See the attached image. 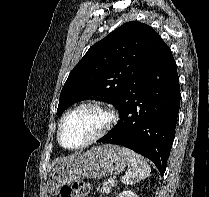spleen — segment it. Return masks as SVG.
Returning a JSON list of instances; mask_svg holds the SVG:
<instances>
[{
    "mask_svg": "<svg viewBox=\"0 0 209 197\" xmlns=\"http://www.w3.org/2000/svg\"><path fill=\"white\" fill-rule=\"evenodd\" d=\"M122 151L129 164L127 172L122 176L123 184H135L150 175V166L142 156L125 147Z\"/></svg>",
    "mask_w": 209,
    "mask_h": 197,
    "instance_id": "obj_1",
    "label": "spleen"
}]
</instances>
